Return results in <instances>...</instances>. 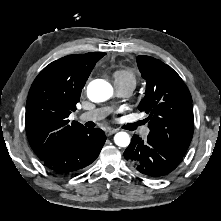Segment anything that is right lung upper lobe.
<instances>
[{
  "mask_svg": "<svg viewBox=\"0 0 221 221\" xmlns=\"http://www.w3.org/2000/svg\"><path fill=\"white\" fill-rule=\"evenodd\" d=\"M104 52L68 55L46 66L34 80L27 98L25 128L31 148L43 161L68 139L86 128L69 122L82 88Z\"/></svg>",
  "mask_w": 221,
  "mask_h": 221,
  "instance_id": "right-lung-upper-lobe-1",
  "label": "right lung upper lobe"
}]
</instances>
